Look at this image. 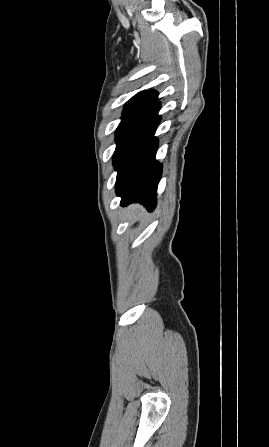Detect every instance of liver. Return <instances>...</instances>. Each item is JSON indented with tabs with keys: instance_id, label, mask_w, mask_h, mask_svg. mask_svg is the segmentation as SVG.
Here are the masks:
<instances>
[{
	"instance_id": "1",
	"label": "liver",
	"mask_w": 269,
	"mask_h": 447,
	"mask_svg": "<svg viewBox=\"0 0 269 447\" xmlns=\"http://www.w3.org/2000/svg\"><path fill=\"white\" fill-rule=\"evenodd\" d=\"M135 206H133V208H131V210H134Z\"/></svg>"
}]
</instances>
